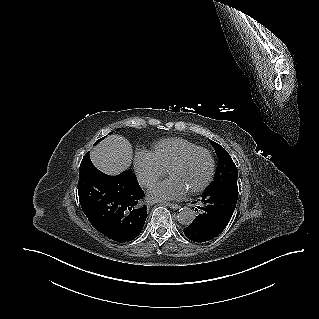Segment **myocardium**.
I'll use <instances>...</instances> for the list:
<instances>
[{"label": "myocardium", "instance_id": "obj_1", "mask_svg": "<svg viewBox=\"0 0 319 319\" xmlns=\"http://www.w3.org/2000/svg\"><path fill=\"white\" fill-rule=\"evenodd\" d=\"M199 152H203L208 156V158L210 160V169H209V173H208L206 179L203 181V183L200 184L199 186H197L196 188L188 191L190 194H197V193L202 192L212 182L214 174H215V169H216V162H215V158H214L212 152L208 148L201 147V146H197L195 148L189 149V150L185 151L184 153H182L176 160H174L167 169L168 174H170V172L173 169L181 166L192 155L199 153Z\"/></svg>", "mask_w": 319, "mask_h": 319}]
</instances>
